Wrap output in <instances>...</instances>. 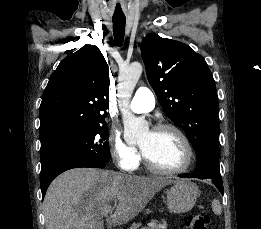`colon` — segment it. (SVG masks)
Wrapping results in <instances>:
<instances>
[{
    "label": "colon",
    "instance_id": "5ec220e1",
    "mask_svg": "<svg viewBox=\"0 0 261 229\" xmlns=\"http://www.w3.org/2000/svg\"><path fill=\"white\" fill-rule=\"evenodd\" d=\"M186 229H209L211 217L205 211H195L186 219Z\"/></svg>",
    "mask_w": 261,
    "mask_h": 229
}]
</instances>
